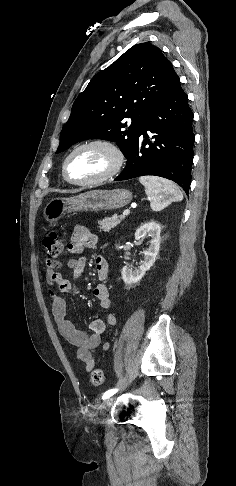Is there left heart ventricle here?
<instances>
[{"label": "left heart ventricle", "mask_w": 236, "mask_h": 486, "mask_svg": "<svg viewBox=\"0 0 236 486\" xmlns=\"http://www.w3.org/2000/svg\"><path fill=\"white\" fill-rule=\"evenodd\" d=\"M113 164L111 153L99 146L84 148L70 159L69 176L77 181L97 178L106 173Z\"/></svg>", "instance_id": "obj_1"}]
</instances>
